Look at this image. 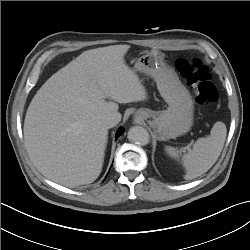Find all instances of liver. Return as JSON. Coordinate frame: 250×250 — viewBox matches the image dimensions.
<instances>
[{
    "mask_svg": "<svg viewBox=\"0 0 250 250\" xmlns=\"http://www.w3.org/2000/svg\"><path fill=\"white\" fill-rule=\"evenodd\" d=\"M129 48L84 51L37 91L26 112L24 142L46 178L77 187L100 175L108 137L102 119L119 113L117 103L147 99L139 77L125 63Z\"/></svg>",
    "mask_w": 250,
    "mask_h": 250,
    "instance_id": "obj_1",
    "label": "liver"
}]
</instances>
